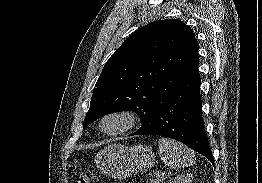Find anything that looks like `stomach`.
<instances>
[{"mask_svg": "<svg viewBox=\"0 0 262 183\" xmlns=\"http://www.w3.org/2000/svg\"><path fill=\"white\" fill-rule=\"evenodd\" d=\"M97 168L106 176L126 178L136 172L147 171L155 164V155L148 146L128 147L111 144L101 150L96 158Z\"/></svg>", "mask_w": 262, "mask_h": 183, "instance_id": "stomach-1", "label": "stomach"}]
</instances>
